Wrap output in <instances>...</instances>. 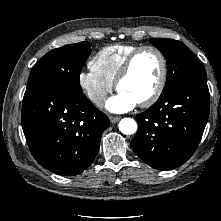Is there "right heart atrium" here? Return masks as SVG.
<instances>
[{"mask_svg": "<svg viewBox=\"0 0 221 221\" xmlns=\"http://www.w3.org/2000/svg\"><path fill=\"white\" fill-rule=\"evenodd\" d=\"M78 84L85 96L96 106H102L114 84L100 76L91 67L78 75Z\"/></svg>", "mask_w": 221, "mask_h": 221, "instance_id": "d8ad5b80", "label": "right heart atrium"}]
</instances>
